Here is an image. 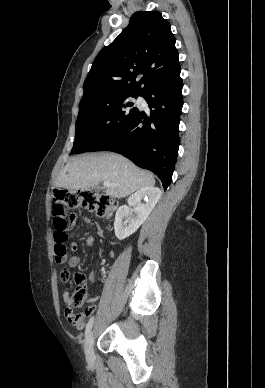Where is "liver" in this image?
<instances>
[{"label": "liver", "instance_id": "liver-1", "mask_svg": "<svg viewBox=\"0 0 265 388\" xmlns=\"http://www.w3.org/2000/svg\"><path fill=\"white\" fill-rule=\"evenodd\" d=\"M100 182H110L117 186L106 188V196L126 198L140 188L154 186L152 174L136 168L130 160L118 154H101V156H83L73 158L66 164L56 180V188L67 190H88Z\"/></svg>", "mask_w": 265, "mask_h": 388}]
</instances>
